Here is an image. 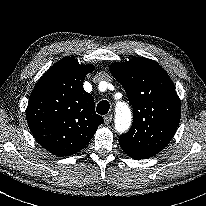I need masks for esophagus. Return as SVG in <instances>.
I'll return each mask as SVG.
<instances>
[{
	"label": "esophagus",
	"mask_w": 206,
	"mask_h": 206,
	"mask_svg": "<svg viewBox=\"0 0 206 206\" xmlns=\"http://www.w3.org/2000/svg\"><path fill=\"white\" fill-rule=\"evenodd\" d=\"M104 121H105V124L108 125L111 123L112 121V115L111 114H108L104 117Z\"/></svg>",
	"instance_id": "esophagus-1"
}]
</instances>
